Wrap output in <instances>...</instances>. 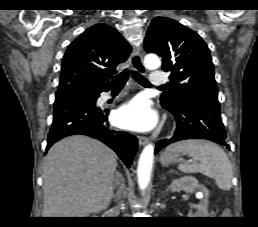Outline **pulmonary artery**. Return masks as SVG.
<instances>
[{"instance_id": "obj_1", "label": "pulmonary artery", "mask_w": 258, "mask_h": 227, "mask_svg": "<svg viewBox=\"0 0 258 227\" xmlns=\"http://www.w3.org/2000/svg\"><path fill=\"white\" fill-rule=\"evenodd\" d=\"M150 80H151V85L160 86V85H164L168 82V77L165 73L154 71L151 73ZM112 98H113V96L111 94L106 93L102 96V101L105 102Z\"/></svg>"}]
</instances>
